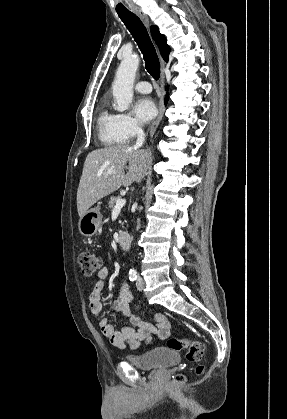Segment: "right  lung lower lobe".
Masks as SVG:
<instances>
[{
  "instance_id": "1",
  "label": "right lung lower lobe",
  "mask_w": 287,
  "mask_h": 419,
  "mask_svg": "<svg viewBox=\"0 0 287 419\" xmlns=\"http://www.w3.org/2000/svg\"><path fill=\"white\" fill-rule=\"evenodd\" d=\"M167 101H168V95L166 96V98H165V103H167Z\"/></svg>"
}]
</instances>
